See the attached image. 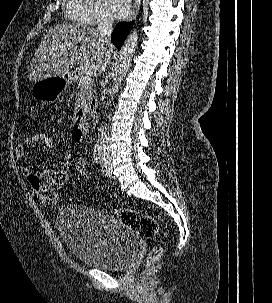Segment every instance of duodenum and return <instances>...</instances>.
I'll use <instances>...</instances> for the list:
<instances>
[{
  "label": "duodenum",
  "mask_w": 272,
  "mask_h": 303,
  "mask_svg": "<svg viewBox=\"0 0 272 303\" xmlns=\"http://www.w3.org/2000/svg\"><path fill=\"white\" fill-rule=\"evenodd\" d=\"M72 76H69V80ZM96 104L93 102L87 110L82 109L78 105L75 106V121L73 124L74 133L78 140H82L86 134L88 119L95 112Z\"/></svg>",
  "instance_id": "1"
}]
</instances>
